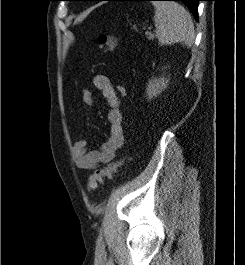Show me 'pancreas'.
Instances as JSON below:
<instances>
[{
    "mask_svg": "<svg viewBox=\"0 0 245 265\" xmlns=\"http://www.w3.org/2000/svg\"><path fill=\"white\" fill-rule=\"evenodd\" d=\"M147 36H148V39H149V40H151V39H153V38H154V36H153V35H150V34H149V35H147Z\"/></svg>",
    "mask_w": 245,
    "mask_h": 265,
    "instance_id": "pancreas-1",
    "label": "pancreas"
}]
</instances>
